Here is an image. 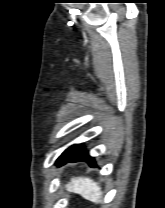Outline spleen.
Here are the masks:
<instances>
[{
	"label": "spleen",
	"mask_w": 165,
	"mask_h": 208,
	"mask_svg": "<svg viewBox=\"0 0 165 208\" xmlns=\"http://www.w3.org/2000/svg\"><path fill=\"white\" fill-rule=\"evenodd\" d=\"M66 190L80 194L83 198L92 201L93 203L101 202V187L90 178L74 177L66 185Z\"/></svg>",
	"instance_id": "spleen-1"
}]
</instances>
